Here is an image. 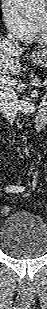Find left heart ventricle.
<instances>
[{
	"label": "left heart ventricle",
	"instance_id": "left-heart-ventricle-1",
	"mask_svg": "<svg viewBox=\"0 0 47 309\" xmlns=\"http://www.w3.org/2000/svg\"><path fill=\"white\" fill-rule=\"evenodd\" d=\"M34 22L36 25L43 31L46 29V15L45 13H41L38 16L34 17Z\"/></svg>",
	"mask_w": 47,
	"mask_h": 309
}]
</instances>
